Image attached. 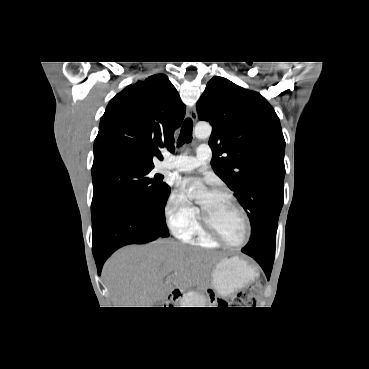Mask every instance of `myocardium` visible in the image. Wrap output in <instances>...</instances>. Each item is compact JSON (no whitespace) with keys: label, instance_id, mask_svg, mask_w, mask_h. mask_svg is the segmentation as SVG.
<instances>
[{"label":"myocardium","instance_id":"1","mask_svg":"<svg viewBox=\"0 0 369 369\" xmlns=\"http://www.w3.org/2000/svg\"><path fill=\"white\" fill-rule=\"evenodd\" d=\"M212 194L228 198L229 200H231L234 203V205L239 209V211L241 212V214L243 216V219H244V222H245V227H246V234H245L244 239L241 242H238V243H233V242H230V241L226 240L215 230V228L210 223L207 216L200 209L199 210V224H200L203 232L210 239H212L213 241H215L217 243H220L222 245L232 247V248H240V247L245 246L249 242L250 237H251V232H252L251 222H250V218H249V215H248L247 211L242 206V204L237 200V198L232 193H230L228 191L216 190Z\"/></svg>","mask_w":369,"mask_h":369}]
</instances>
